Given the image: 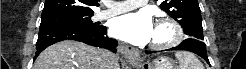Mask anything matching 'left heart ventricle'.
I'll return each instance as SVG.
<instances>
[{
    "label": "left heart ventricle",
    "instance_id": "1",
    "mask_svg": "<svg viewBox=\"0 0 246 69\" xmlns=\"http://www.w3.org/2000/svg\"><path fill=\"white\" fill-rule=\"evenodd\" d=\"M171 32L166 26H156L152 37V42H162L170 38Z\"/></svg>",
    "mask_w": 246,
    "mask_h": 69
}]
</instances>
